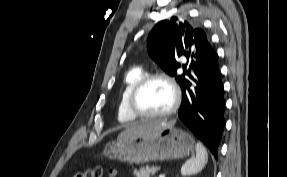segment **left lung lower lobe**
<instances>
[{
    "mask_svg": "<svg viewBox=\"0 0 287 177\" xmlns=\"http://www.w3.org/2000/svg\"><path fill=\"white\" fill-rule=\"evenodd\" d=\"M182 88L179 119L218 158V147L225 124V101L218 55L212 49L208 59L194 70Z\"/></svg>",
    "mask_w": 287,
    "mask_h": 177,
    "instance_id": "0a47b994",
    "label": "left lung lower lobe"
}]
</instances>
